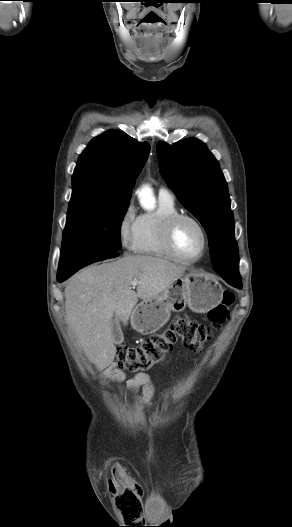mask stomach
Segmentation results:
<instances>
[{
  "label": "stomach",
  "instance_id": "stomach-1",
  "mask_svg": "<svg viewBox=\"0 0 292 527\" xmlns=\"http://www.w3.org/2000/svg\"><path fill=\"white\" fill-rule=\"evenodd\" d=\"M222 298L223 289L216 279L191 272L160 295L142 301L131 315V325L141 334L155 333L167 323L171 311L181 312L188 306L196 313H207Z\"/></svg>",
  "mask_w": 292,
  "mask_h": 527
}]
</instances>
